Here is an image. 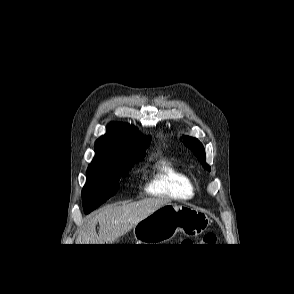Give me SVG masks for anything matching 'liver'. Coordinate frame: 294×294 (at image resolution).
I'll use <instances>...</instances> for the list:
<instances>
[{"label": "liver", "instance_id": "1", "mask_svg": "<svg viewBox=\"0 0 294 294\" xmlns=\"http://www.w3.org/2000/svg\"><path fill=\"white\" fill-rule=\"evenodd\" d=\"M170 201L147 198L123 205H109L87 217L80 228L76 244H112L141 220ZM99 223V231L96 225Z\"/></svg>", "mask_w": 294, "mask_h": 294}]
</instances>
